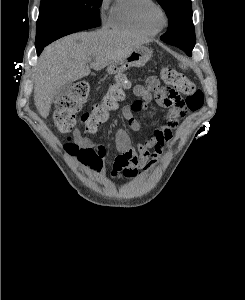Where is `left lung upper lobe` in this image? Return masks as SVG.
<instances>
[{
	"label": "left lung upper lobe",
	"mask_w": 245,
	"mask_h": 300,
	"mask_svg": "<svg viewBox=\"0 0 245 300\" xmlns=\"http://www.w3.org/2000/svg\"><path fill=\"white\" fill-rule=\"evenodd\" d=\"M157 2L165 10L169 22L167 32L160 39L174 46L186 44L188 50H193L196 38L191 0H157Z\"/></svg>",
	"instance_id": "left-lung-upper-lobe-1"
}]
</instances>
